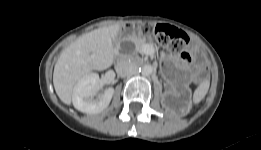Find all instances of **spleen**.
Listing matches in <instances>:
<instances>
[{
  "label": "spleen",
  "mask_w": 261,
  "mask_h": 150,
  "mask_svg": "<svg viewBox=\"0 0 261 150\" xmlns=\"http://www.w3.org/2000/svg\"><path fill=\"white\" fill-rule=\"evenodd\" d=\"M209 82L205 81L202 82L198 88L195 90L194 94H193V102L195 104H198L203 98L204 96L207 94L208 89H209Z\"/></svg>",
  "instance_id": "spleen-1"
}]
</instances>
